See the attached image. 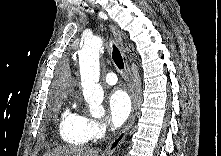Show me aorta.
I'll list each match as a JSON object with an SVG mask.
<instances>
[{"label": "aorta", "instance_id": "obj_1", "mask_svg": "<svg viewBox=\"0 0 221 156\" xmlns=\"http://www.w3.org/2000/svg\"><path fill=\"white\" fill-rule=\"evenodd\" d=\"M103 44L104 40L102 37L93 36L84 42L79 52L83 96L89 105L90 114L95 118H100L105 113L102 106L104 91L99 84V50Z\"/></svg>", "mask_w": 221, "mask_h": 156}]
</instances>
